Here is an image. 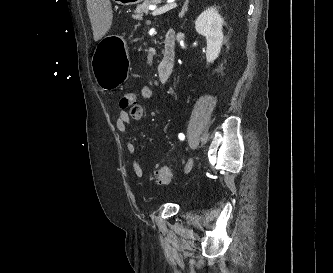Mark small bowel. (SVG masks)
<instances>
[{
  "label": "small bowel",
  "mask_w": 333,
  "mask_h": 273,
  "mask_svg": "<svg viewBox=\"0 0 333 273\" xmlns=\"http://www.w3.org/2000/svg\"><path fill=\"white\" fill-rule=\"evenodd\" d=\"M140 95L143 99L149 100L152 98L153 91L149 86H143L140 90ZM144 116V108L139 103L132 104V109H120L115 119V128L120 133H126L127 124L138 122ZM125 147L130 157V166L134 175L137 178L144 176V170L139 164L135 156V146L131 141H125Z\"/></svg>",
  "instance_id": "small-bowel-1"
}]
</instances>
